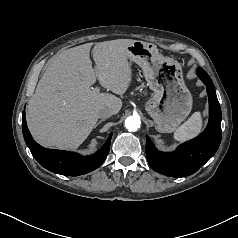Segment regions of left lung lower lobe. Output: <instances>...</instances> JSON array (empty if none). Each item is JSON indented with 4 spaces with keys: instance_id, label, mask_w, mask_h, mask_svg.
Listing matches in <instances>:
<instances>
[{
    "instance_id": "0a47b994",
    "label": "left lung lower lobe",
    "mask_w": 238,
    "mask_h": 238,
    "mask_svg": "<svg viewBox=\"0 0 238 238\" xmlns=\"http://www.w3.org/2000/svg\"><path fill=\"white\" fill-rule=\"evenodd\" d=\"M197 75L206 85L209 98V122L198 137L183 143L174 152L158 151L146 136V156L149 165L158 173L170 177H184L195 173L217 151L221 142V109L215 88L208 74L201 68Z\"/></svg>"
}]
</instances>
